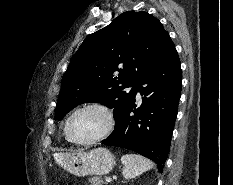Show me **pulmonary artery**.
<instances>
[{
    "mask_svg": "<svg viewBox=\"0 0 233 185\" xmlns=\"http://www.w3.org/2000/svg\"><path fill=\"white\" fill-rule=\"evenodd\" d=\"M137 98H138V99L140 98V93H139V92L137 93Z\"/></svg>",
    "mask_w": 233,
    "mask_h": 185,
    "instance_id": "e3ab8cb5",
    "label": "pulmonary artery"
}]
</instances>
